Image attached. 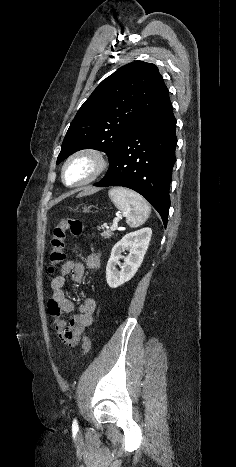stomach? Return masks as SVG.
<instances>
[{"instance_id": "stomach-1", "label": "stomach", "mask_w": 236, "mask_h": 467, "mask_svg": "<svg viewBox=\"0 0 236 467\" xmlns=\"http://www.w3.org/2000/svg\"><path fill=\"white\" fill-rule=\"evenodd\" d=\"M89 210H90V207H84L83 208V212H89Z\"/></svg>"}]
</instances>
